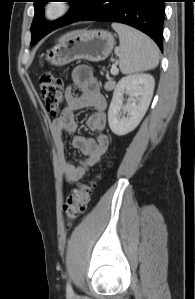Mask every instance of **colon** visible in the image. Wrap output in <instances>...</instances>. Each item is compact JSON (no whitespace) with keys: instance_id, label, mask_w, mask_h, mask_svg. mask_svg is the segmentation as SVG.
I'll use <instances>...</instances> for the list:
<instances>
[{"instance_id":"colon-1","label":"colon","mask_w":195,"mask_h":299,"mask_svg":"<svg viewBox=\"0 0 195 299\" xmlns=\"http://www.w3.org/2000/svg\"><path fill=\"white\" fill-rule=\"evenodd\" d=\"M63 79L52 72H46L39 79L40 95L47 113L56 117L63 99ZM95 186L94 181L77 185L64 203L66 225L70 227L86 210L90 195Z\"/></svg>"}]
</instances>
